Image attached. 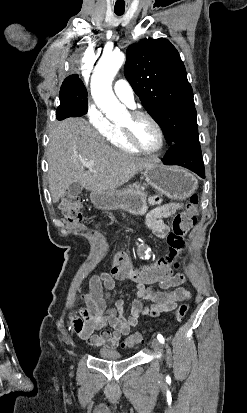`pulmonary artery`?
Returning <instances> with one entry per match:
<instances>
[{"label":"pulmonary artery","mask_w":247,"mask_h":413,"mask_svg":"<svg viewBox=\"0 0 247 413\" xmlns=\"http://www.w3.org/2000/svg\"><path fill=\"white\" fill-rule=\"evenodd\" d=\"M114 92L116 96L127 103L129 106L134 105V90L131 83L125 78H119L114 82Z\"/></svg>","instance_id":"pulmonary-artery-1"}]
</instances>
